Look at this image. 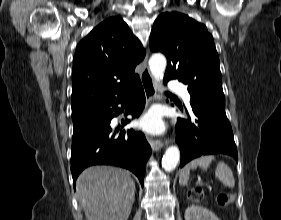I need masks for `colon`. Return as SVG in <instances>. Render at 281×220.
Returning <instances> with one entry per match:
<instances>
[{
    "instance_id": "1",
    "label": "colon",
    "mask_w": 281,
    "mask_h": 220,
    "mask_svg": "<svg viewBox=\"0 0 281 220\" xmlns=\"http://www.w3.org/2000/svg\"><path fill=\"white\" fill-rule=\"evenodd\" d=\"M189 198L193 201H199L203 198V193L199 190H192L189 193ZM234 200V195L222 193L216 198V202L220 206H227Z\"/></svg>"
}]
</instances>
